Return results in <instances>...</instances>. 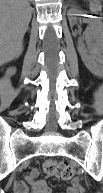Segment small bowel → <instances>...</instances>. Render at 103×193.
I'll return each mask as SVG.
<instances>
[{"instance_id": "obj_1", "label": "small bowel", "mask_w": 103, "mask_h": 193, "mask_svg": "<svg viewBox=\"0 0 103 193\" xmlns=\"http://www.w3.org/2000/svg\"><path fill=\"white\" fill-rule=\"evenodd\" d=\"M39 170L34 168L29 177L28 181L31 186L30 193H51L47 183L44 179L38 178ZM16 193H28L29 188L23 182H17L14 185ZM66 193H83V189L78 180H73L71 184L67 187Z\"/></svg>"}]
</instances>
